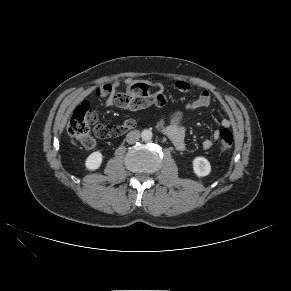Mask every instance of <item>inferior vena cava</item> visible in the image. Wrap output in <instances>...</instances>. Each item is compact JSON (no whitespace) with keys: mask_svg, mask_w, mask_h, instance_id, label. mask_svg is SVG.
<instances>
[{"mask_svg":"<svg viewBox=\"0 0 291 291\" xmlns=\"http://www.w3.org/2000/svg\"><path fill=\"white\" fill-rule=\"evenodd\" d=\"M139 139H140V132H139V130L130 131L126 135V141L129 144H133V143L137 142Z\"/></svg>","mask_w":291,"mask_h":291,"instance_id":"1","label":"inferior vena cava"}]
</instances>
